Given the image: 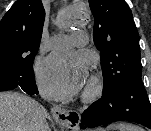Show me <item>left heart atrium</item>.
<instances>
[{
  "mask_svg": "<svg viewBox=\"0 0 151 131\" xmlns=\"http://www.w3.org/2000/svg\"><path fill=\"white\" fill-rule=\"evenodd\" d=\"M40 90L48 98L65 99L79 92L88 80V64L81 54L56 53L38 72Z\"/></svg>",
  "mask_w": 151,
  "mask_h": 131,
  "instance_id": "39dd6f15",
  "label": "left heart atrium"
}]
</instances>
